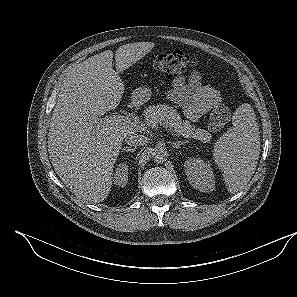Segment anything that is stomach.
<instances>
[{"label":"stomach","instance_id":"obj_1","mask_svg":"<svg viewBox=\"0 0 297 297\" xmlns=\"http://www.w3.org/2000/svg\"><path fill=\"white\" fill-rule=\"evenodd\" d=\"M152 95V92L149 88L140 87L133 91L132 100L134 103L143 104L147 102Z\"/></svg>","mask_w":297,"mask_h":297}]
</instances>
